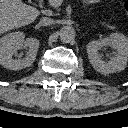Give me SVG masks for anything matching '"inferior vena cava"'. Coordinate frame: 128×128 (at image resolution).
Returning <instances> with one entry per match:
<instances>
[{
  "label": "inferior vena cava",
  "instance_id": "602c4592",
  "mask_svg": "<svg viewBox=\"0 0 128 128\" xmlns=\"http://www.w3.org/2000/svg\"><path fill=\"white\" fill-rule=\"evenodd\" d=\"M53 23H54V20L49 17H42L39 22L41 26H48V25H52Z\"/></svg>",
  "mask_w": 128,
  "mask_h": 128
}]
</instances>
